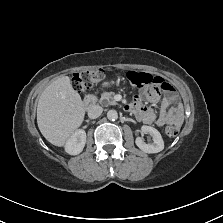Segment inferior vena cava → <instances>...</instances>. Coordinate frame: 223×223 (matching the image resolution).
Segmentation results:
<instances>
[{
    "mask_svg": "<svg viewBox=\"0 0 223 223\" xmlns=\"http://www.w3.org/2000/svg\"><path fill=\"white\" fill-rule=\"evenodd\" d=\"M103 108L99 105H92L88 109V116L91 119H95L101 115Z\"/></svg>",
    "mask_w": 223,
    "mask_h": 223,
    "instance_id": "1",
    "label": "inferior vena cava"
}]
</instances>
